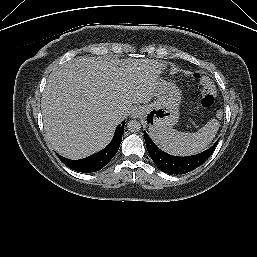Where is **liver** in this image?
Returning a JSON list of instances; mask_svg holds the SVG:
<instances>
[{"label":"liver","mask_w":257,"mask_h":257,"mask_svg":"<svg viewBox=\"0 0 257 257\" xmlns=\"http://www.w3.org/2000/svg\"><path fill=\"white\" fill-rule=\"evenodd\" d=\"M165 64L153 59L80 56L56 68L42 95L46 138L60 155L81 159L112 140L132 105L155 95ZM123 114V119L115 118Z\"/></svg>","instance_id":"6515ba94"}]
</instances>
